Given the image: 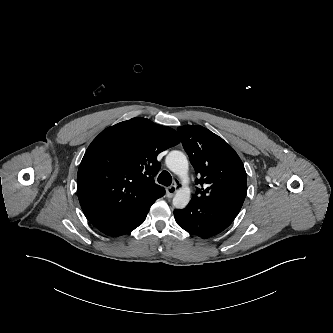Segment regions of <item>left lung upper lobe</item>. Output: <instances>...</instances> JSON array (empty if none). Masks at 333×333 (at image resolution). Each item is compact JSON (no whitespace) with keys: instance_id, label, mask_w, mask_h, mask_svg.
<instances>
[{"instance_id":"5c2ea615","label":"left lung upper lobe","mask_w":333,"mask_h":333,"mask_svg":"<svg viewBox=\"0 0 333 333\" xmlns=\"http://www.w3.org/2000/svg\"><path fill=\"white\" fill-rule=\"evenodd\" d=\"M178 133L199 178L194 199L203 200L225 192H247L244 165L221 137L202 126H181Z\"/></svg>"}]
</instances>
